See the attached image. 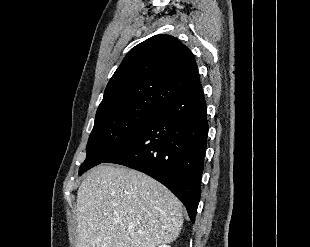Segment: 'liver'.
Here are the masks:
<instances>
[{"mask_svg": "<svg viewBox=\"0 0 310 247\" xmlns=\"http://www.w3.org/2000/svg\"><path fill=\"white\" fill-rule=\"evenodd\" d=\"M76 247H157L183 225L182 203L148 175L99 165L77 192Z\"/></svg>", "mask_w": 310, "mask_h": 247, "instance_id": "1", "label": "liver"}]
</instances>
